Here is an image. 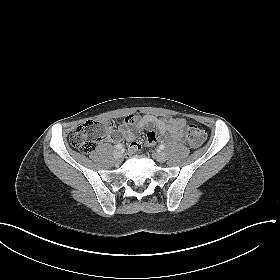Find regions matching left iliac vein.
I'll return each mask as SVG.
<instances>
[{
    "label": "left iliac vein",
    "instance_id": "4c4485c4",
    "mask_svg": "<svg viewBox=\"0 0 280 280\" xmlns=\"http://www.w3.org/2000/svg\"><path fill=\"white\" fill-rule=\"evenodd\" d=\"M153 157L160 163H164L166 161V155L162 152L155 153Z\"/></svg>",
    "mask_w": 280,
    "mask_h": 280
}]
</instances>
